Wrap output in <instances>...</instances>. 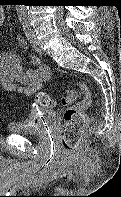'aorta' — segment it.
Instances as JSON below:
<instances>
[{
  "mask_svg": "<svg viewBox=\"0 0 121 197\" xmlns=\"http://www.w3.org/2000/svg\"><path fill=\"white\" fill-rule=\"evenodd\" d=\"M16 10H17V15L20 20L28 19V16H29L28 6L20 5V6H17Z\"/></svg>",
  "mask_w": 121,
  "mask_h": 197,
  "instance_id": "obj_1",
  "label": "aorta"
}]
</instances>
